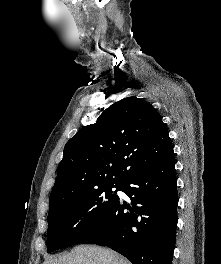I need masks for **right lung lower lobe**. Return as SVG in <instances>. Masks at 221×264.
Instances as JSON below:
<instances>
[{
    "instance_id": "98d812e1",
    "label": "right lung lower lobe",
    "mask_w": 221,
    "mask_h": 264,
    "mask_svg": "<svg viewBox=\"0 0 221 264\" xmlns=\"http://www.w3.org/2000/svg\"><path fill=\"white\" fill-rule=\"evenodd\" d=\"M118 201L81 244L108 246L133 264H171L177 226L175 157L126 178Z\"/></svg>"
}]
</instances>
